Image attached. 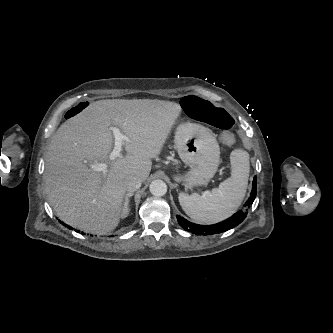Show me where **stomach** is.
<instances>
[{
	"label": "stomach",
	"instance_id": "0dacf381",
	"mask_svg": "<svg viewBox=\"0 0 333 333\" xmlns=\"http://www.w3.org/2000/svg\"><path fill=\"white\" fill-rule=\"evenodd\" d=\"M175 145L181 160L191 168L185 175H176L175 180L190 187L207 185L220 162L219 145L212 131L200 124L184 122L177 127Z\"/></svg>",
	"mask_w": 333,
	"mask_h": 333
}]
</instances>
